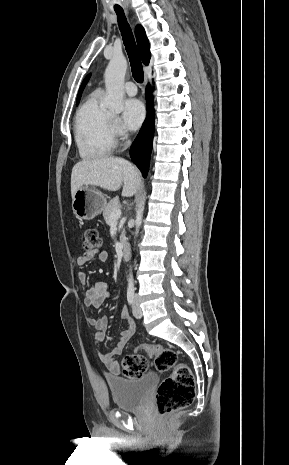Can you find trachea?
<instances>
[{"label":"trachea","mask_w":289,"mask_h":465,"mask_svg":"<svg viewBox=\"0 0 289 465\" xmlns=\"http://www.w3.org/2000/svg\"><path fill=\"white\" fill-rule=\"evenodd\" d=\"M115 12L118 17L119 29L121 31L122 39L124 41V45L130 60L132 76L136 82L142 83L144 80L143 66L133 33L127 22L124 11L122 9H116Z\"/></svg>","instance_id":"obj_1"}]
</instances>
